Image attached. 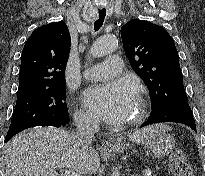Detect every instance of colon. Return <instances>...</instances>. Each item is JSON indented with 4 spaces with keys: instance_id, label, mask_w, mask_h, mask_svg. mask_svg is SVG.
<instances>
[{
    "instance_id": "5ec220e1",
    "label": "colon",
    "mask_w": 205,
    "mask_h": 176,
    "mask_svg": "<svg viewBox=\"0 0 205 176\" xmlns=\"http://www.w3.org/2000/svg\"><path fill=\"white\" fill-rule=\"evenodd\" d=\"M170 169L174 176H194L191 165L181 149H176L170 156Z\"/></svg>"
}]
</instances>
